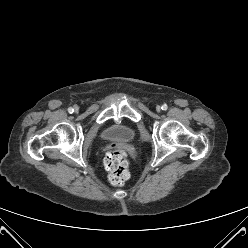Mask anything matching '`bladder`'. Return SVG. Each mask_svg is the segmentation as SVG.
I'll use <instances>...</instances> for the list:
<instances>
[{"label":"bladder","mask_w":248,"mask_h":248,"mask_svg":"<svg viewBox=\"0 0 248 248\" xmlns=\"http://www.w3.org/2000/svg\"><path fill=\"white\" fill-rule=\"evenodd\" d=\"M134 135V129L126 124H113L103 131V136L105 139L120 142L131 141L134 138Z\"/></svg>","instance_id":"obj_1"}]
</instances>
